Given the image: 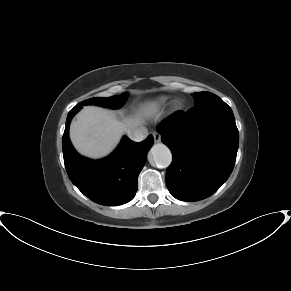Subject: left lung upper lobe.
<instances>
[{
	"label": "left lung upper lobe",
	"instance_id": "5c2ea615",
	"mask_svg": "<svg viewBox=\"0 0 291 291\" xmlns=\"http://www.w3.org/2000/svg\"><path fill=\"white\" fill-rule=\"evenodd\" d=\"M192 96L195 99V107L202 106L209 102L219 99V97L210 92H197L193 93Z\"/></svg>",
	"mask_w": 291,
	"mask_h": 291
}]
</instances>
